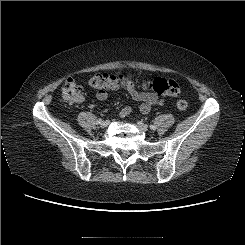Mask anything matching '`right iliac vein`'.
I'll return each instance as SVG.
<instances>
[{"label":"right iliac vein","mask_w":245,"mask_h":245,"mask_svg":"<svg viewBox=\"0 0 245 245\" xmlns=\"http://www.w3.org/2000/svg\"><path fill=\"white\" fill-rule=\"evenodd\" d=\"M108 121H101V123H100V126L102 127V128H105V127H107L108 126Z\"/></svg>","instance_id":"1"}]
</instances>
